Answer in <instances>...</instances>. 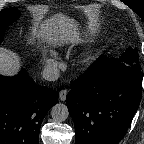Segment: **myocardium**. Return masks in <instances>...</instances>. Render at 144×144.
<instances>
[{
  "label": "myocardium",
  "instance_id": "myocardium-1",
  "mask_svg": "<svg viewBox=\"0 0 144 144\" xmlns=\"http://www.w3.org/2000/svg\"><path fill=\"white\" fill-rule=\"evenodd\" d=\"M96 58V53L94 50H88L85 53H83L80 57V64L83 67H89L91 66Z\"/></svg>",
  "mask_w": 144,
  "mask_h": 144
}]
</instances>
